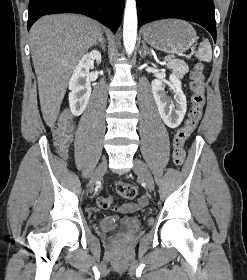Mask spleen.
<instances>
[{"label": "spleen", "mask_w": 247, "mask_h": 280, "mask_svg": "<svg viewBox=\"0 0 247 280\" xmlns=\"http://www.w3.org/2000/svg\"><path fill=\"white\" fill-rule=\"evenodd\" d=\"M197 59L205 62H210L212 59V48L207 39H203L200 43L198 51L195 53Z\"/></svg>", "instance_id": "spleen-1"}]
</instances>
